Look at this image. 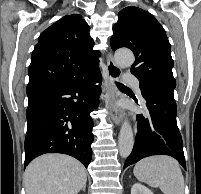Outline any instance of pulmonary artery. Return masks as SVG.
<instances>
[{
  "mask_svg": "<svg viewBox=\"0 0 201 194\" xmlns=\"http://www.w3.org/2000/svg\"><path fill=\"white\" fill-rule=\"evenodd\" d=\"M122 79L124 82L132 85L137 93H140V83L134 75H132L131 73H125L123 74Z\"/></svg>",
  "mask_w": 201,
  "mask_h": 194,
  "instance_id": "e3ab8cb5",
  "label": "pulmonary artery"
}]
</instances>
